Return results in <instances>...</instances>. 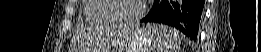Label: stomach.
<instances>
[{
  "label": "stomach",
  "instance_id": "stomach-1",
  "mask_svg": "<svg viewBox=\"0 0 261 52\" xmlns=\"http://www.w3.org/2000/svg\"><path fill=\"white\" fill-rule=\"evenodd\" d=\"M112 29L120 30L122 35L116 37L118 52H152L156 42L148 28H128L115 26Z\"/></svg>",
  "mask_w": 261,
  "mask_h": 52
}]
</instances>
